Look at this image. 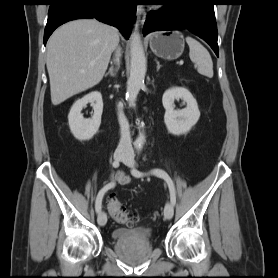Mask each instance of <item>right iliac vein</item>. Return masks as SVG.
<instances>
[{"instance_id": "63e3f726", "label": "right iliac vein", "mask_w": 278, "mask_h": 278, "mask_svg": "<svg viewBox=\"0 0 278 278\" xmlns=\"http://www.w3.org/2000/svg\"><path fill=\"white\" fill-rule=\"evenodd\" d=\"M127 157V154L123 151H116L114 159L116 161H123ZM98 224L104 226L107 223V215L104 212H100L97 218Z\"/></svg>"}]
</instances>
